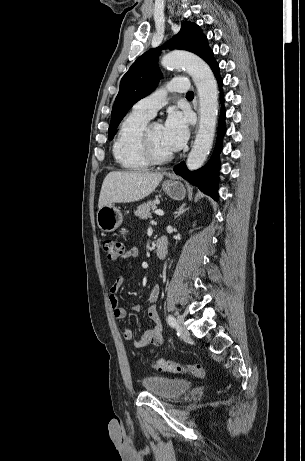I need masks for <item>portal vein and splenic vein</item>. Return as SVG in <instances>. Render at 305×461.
Returning <instances> with one entry per match:
<instances>
[{
	"mask_svg": "<svg viewBox=\"0 0 305 461\" xmlns=\"http://www.w3.org/2000/svg\"><path fill=\"white\" fill-rule=\"evenodd\" d=\"M155 214L158 216H163L164 212L162 210H155Z\"/></svg>",
	"mask_w": 305,
	"mask_h": 461,
	"instance_id": "1",
	"label": "portal vein and splenic vein"
}]
</instances>
